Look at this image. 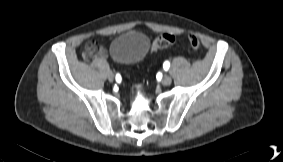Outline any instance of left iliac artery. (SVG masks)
<instances>
[{
	"instance_id": "obj_1",
	"label": "left iliac artery",
	"mask_w": 283,
	"mask_h": 162,
	"mask_svg": "<svg viewBox=\"0 0 283 162\" xmlns=\"http://www.w3.org/2000/svg\"><path fill=\"white\" fill-rule=\"evenodd\" d=\"M164 69L167 71L170 67V63L168 61H165L163 64Z\"/></svg>"
}]
</instances>
